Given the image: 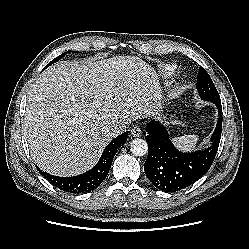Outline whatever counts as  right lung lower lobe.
I'll return each mask as SVG.
<instances>
[{
    "instance_id": "98d812e1",
    "label": "right lung lower lobe",
    "mask_w": 249,
    "mask_h": 249,
    "mask_svg": "<svg viewBox=\"0 0 249 249\" xmlns=\"http://www.w3.org/2000/svg\"><path fill=\"white\" fill-rule=\"evenodd\" d=\"M127 137L128 132H124L113 139L104 149L96 166L84 174L73 177H59L42 172L39 168L38 170L49 182L61 190L70 193L90 192L106 178L116 152L127 141Z\"/></svg>"
}]
</instances>
